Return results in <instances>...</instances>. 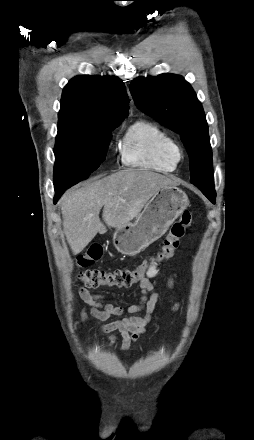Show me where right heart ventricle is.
I'll use <instances>...</instances> for the list:
<instances>
[{"mask_svg":"<svg viewBox=\"0 0 254 440\" xmlns=\"http://www.w3.org/2000/svg\"><path fill=\"white\" fill-rule=\"evenodd\" d=\"M175 143L173 136L161 125L140 119L124 135L122 162L130 168L171 172L177 166L169 153Z\"/></svg>","mask_w":254,"mask_h":440,"instance_id":"right-heart-ventricle-1","label":"right heart ventricle"}]
</instances>
